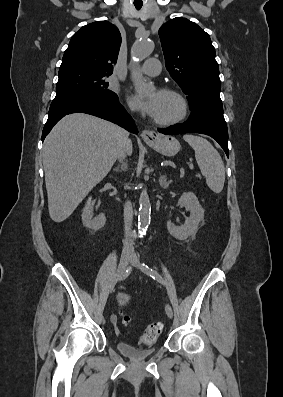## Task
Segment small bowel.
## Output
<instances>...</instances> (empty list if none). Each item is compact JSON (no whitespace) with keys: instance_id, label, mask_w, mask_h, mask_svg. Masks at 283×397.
<instances>
[{"instance_id":"1","label":"small bowel","mask_w":283,"mask_h":397,"mask_svg":"<svg viewBox=\"0 0 283 397\" xmlns=\"http://www.w3.org/2000/svg\"><path fill=\"white\" fill-rule=\"evenodd\" d=\"M115 299H116V303H117V305L119 306V307H121V308H125V307H127L130 303H131V301H132V297L129 295V294H126V293H117L116 294V296H115ZM111 321H112V323L114 324V325H116L117 324V317H116V315H112L111 316Z\"/></svg>"}]
</instances>
